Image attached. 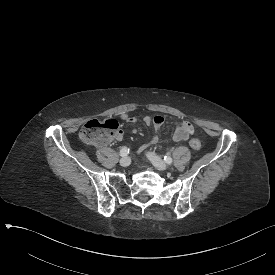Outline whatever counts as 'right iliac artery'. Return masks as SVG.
<instances>
[{
  "instance_id": "82829eb1",
  "label": "right iliac artery",
  "mask_w": 275,
  "mask_h": 275,
  "mask_svg": "<svg viewBox=\"0 0 275 275\" xmlns=\"http://www.w3.org/2000/svg\"><path fill=\"white\" fill-rule=\"evenodd\" d=\"M128 154H129V148L126 146L122 147L120 150V155L124 157V156H127Z\"/></svg>"
}]
</instances>
